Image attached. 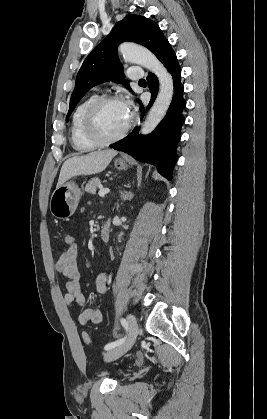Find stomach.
<instances>
[{
	"instance_id": "obj_1",
	"label": "stomach",
	"mask_w": 267,
	"mask_h": 419,
	"mask_svg": "<svg viewBox=\"0 0 267 419\" xmlns=\"http://www.w3.org/2000/svg\"><path fill=\"white\" fill-rule=\"evenodd\" d=\"M114 164L118 170L127 169L124 160L117 159ZM82 194L81 188L74 181L65 182L57 187L50 199L51 214L57 219L69 218L77 209Z\"/></svg>"
}]
</instances>
